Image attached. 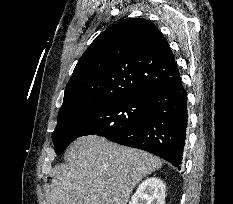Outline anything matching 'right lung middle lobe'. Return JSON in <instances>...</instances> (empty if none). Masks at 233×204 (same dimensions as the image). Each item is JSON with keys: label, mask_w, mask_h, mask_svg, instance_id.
Wrapping results in <instances>:
<instances>
[{"label": "right lung middle lobe", "mask_w": 233, "mask_h": 204, "mask_svg": "<svg viewBox=\"0 0 233 204\" xmlns=\"http://www.w3.org/2000/svg\"><path fill=\"white\" fill-rule=\"evenodd\" d=\"M149 95L115 100L89 112L76 115L53 132V144L57 153L74 139L85 135L113 138L131 130L150 117Z\"/></svg>", "instance_id": "1"}]
</instances>
